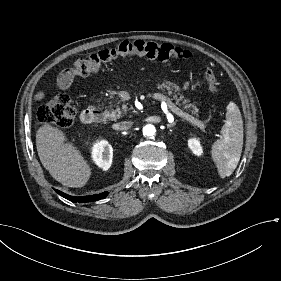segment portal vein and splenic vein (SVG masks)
<instances>
[{"mask_svg":"<svg viewBox=\"0 0 281 281\" xmlns=\"http://www.w3.org/2000/svg\"><path fill=\"white\" fill-rule=\"evenodd\" d=\"M142 99L144 101H147V100H154V101H159L160 99L162 100V103L164 105H167L169 106L172 111L174 113H176L178 116L182 117V119L186 122V123H190L192 124L193 126L197 127V128H200L202 131L204 132H207L208 131V126L207 125H204L203 123L201 122H198L197 119H193V117L191 116V114L189 112H186L184 111L183 109H179L175 103H173L169 98H167L165 95H162L160 93H147V94H144L142 96Z\"/></svg>","mask_w":281,"mask_h":281,"instance_id":"portal-vein-and-splenic-vein-1","label":"portal vein and splenic vein"}]
</instances>
